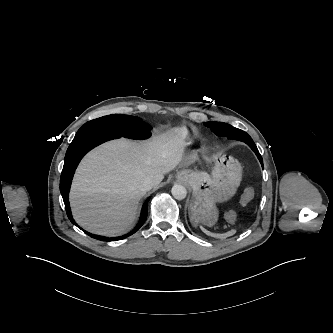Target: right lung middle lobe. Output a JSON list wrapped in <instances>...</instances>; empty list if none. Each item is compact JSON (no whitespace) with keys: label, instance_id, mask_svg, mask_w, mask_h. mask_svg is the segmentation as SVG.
<instances>
[{"label":"right lung middle lobe","instance_id":"1","mask_svg":"<svg viewBox=\"0 0 333 333\" xmlns=\"http://www.w3.org/2000/svg\"><path fill=\"white\" fill-rule=\"evenodd\" d=\"M91 130H102L132 139H144L150 136L151 127L135 116L122 114L108 115L85 123L77 134Z\"/></svg>","mask_w":333,"mask_h":333}]
</instances>
